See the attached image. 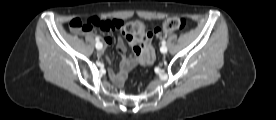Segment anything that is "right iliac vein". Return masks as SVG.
<instances>
[{"label": "right iliac vein", "instance_id": "obj_1", "mask_svg": "<svg viewBox=\"0 0 276 120\" xmlns=\"http://www.w3.org/2000/svg\"><path fill=\"white\" fill-rule=\"evenodd\" d=\"M100 45H102L100 42L99 43H96V49L97 50H100L101 48H98Z\"/></svg>", "mask_w": 276, "mask_h": 120}]
</instances>
